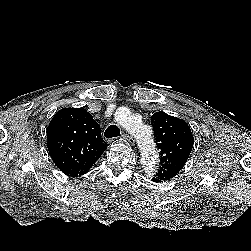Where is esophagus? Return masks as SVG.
<instances>
[{
  "label": "esophagus",
  "instance_id": "1",
  "mask_svg": "<svg viewBox=\"0 0 251 251\" xmlns=\"http://www.w3.org/2000/svg\"><path fill=\"white\" fill-rule=\"evenodd\" d=\"M123 137L130 143V144H134V138L128 134H124Z\"/></svg>",
  "mask_w": 251,
  "mask_h": 251
}]
</instances>
